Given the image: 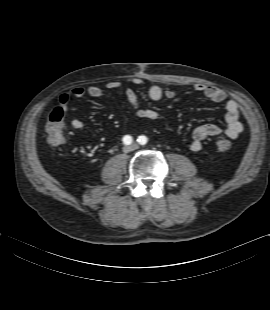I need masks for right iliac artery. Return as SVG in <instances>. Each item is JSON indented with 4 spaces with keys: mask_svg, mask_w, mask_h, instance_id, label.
<instances>
[{
    "mask_svg": "<svg viewBox=\"0 0 270 310\" xmlns=\"http://www.w3.org/2000/svg\"><path fill=\"white\" fill-rule=\"evenodd\" d=\"M132 137L129 136V135H126L123 137V143L126 144V145H130L132 143Z\"/></svg>",
    "mask_w": 270,
    "mask_h": 310,
    "instance_id": "82829eb1",
    "label": "right iliac artery"
}]
</instances>
